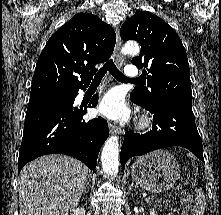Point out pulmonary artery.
I'll use <instances>...</instances> for the list:
<instances>
[{"instance_id": "pulmonary-artery-1", "label": "pulmonary artery", "mask_w": 221, "mask_h": 215, "mask_svg": "<svg viewBox=\"0 0 221 215\" xmlns=\"http://www.w3.org/2000/svg\"><path fill=\"white\" fill-rule=\"evenodd\" d=\"M125 75L128 78H136L140 75L139 69L134 65H128L125 68Z\"/></svg>"}]
</instances>
